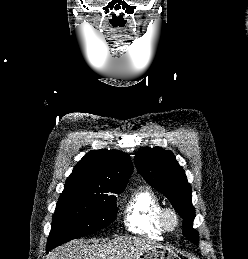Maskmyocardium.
<instances>
[{
	"mask_svg": "<svg viewBox=\"0 0 248 259\" xmlns=\"http://www.w3.org/2000/svg\"><path fill=\"white\" fill-rule=\"evenodd\" d=\"M161 222L166 231H174L179 226L180 218L173 208H164L161 213Z\"/></svg>",
	"mask_w": 248,
	"mask_h": 259,
	"instance_id": "f54148a6",
	"label": "myocardium"
}]
</instances>
